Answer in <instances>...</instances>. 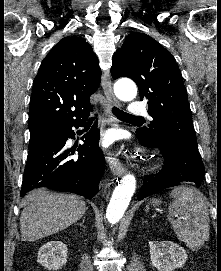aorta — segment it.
I'll use <instances>...</instances> for the list:
<instances>
[{"label":"aorta","mask_w":221,"mask_h":271,"mask_svg":"<svg viewBox=\"0 0 221 271\" xmlns=\"http://www.w3.org/2000/svg\"><path fill=\"white\" fill-rule=\"evenodd\" d=\"M114 93L122 101H131L137 95V87L131 80H120L114 85ZM136 179L127 174L118 183L113 191L106 210V218L111 224L117 223L124 215L135 192Z\"/></svg>","instance_id":"aorta-1"}]
</instances>
